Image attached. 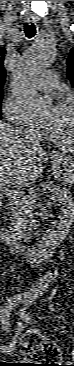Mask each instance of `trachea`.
<instances>
[{
	"instance_id": "trachea-1",
	"label": "trachea",
	"mask_w": 74,
	"mask_h": 366,
	"mask_svg": "<svg viewBox=\"0 0 74 366\" xmlns=\"http://www.w3.org/2000/svg\"><path fill=\"white\" fill-rule=\"evenodd\" d=\"M24 33L26 35L27 38L31 39L35 36L36 34V26L34 25V23L31 24H24Z\"/></svg>"
}]
</instances>
